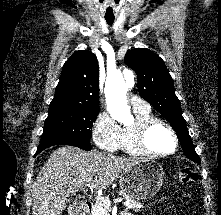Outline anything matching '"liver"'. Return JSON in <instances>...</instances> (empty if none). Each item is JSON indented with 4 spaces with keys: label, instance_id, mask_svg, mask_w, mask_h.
<instances>
[{
    "label": "liver",
    "instance_id": "6515ba94",
    "mask_svg": "<svg viewBox=\"0 0 221 215\" xmlns=\"http://www.w3.org/2000/svg\"><path fill=\"white\" fill-rule=\"evenodd\" d=\"M139 161L72 146L57 148L32 184V215H61L70 194L84 185L105 190L123 170Z\"/></svg>",
    "mask_w": 221,
    "mask_h": 215
}]
</instances>
